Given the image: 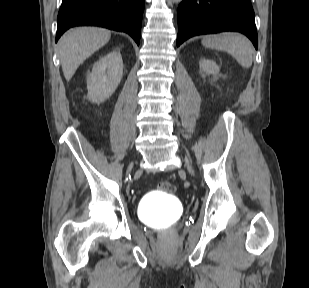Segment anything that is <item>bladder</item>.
Here are the masks:
<instances>
[{"mask_svg": "<svg viewBox=\"0 0 309 288\" xmlns=\"http://www.w3.org/2000/svg\"><path fill=\"white\" fill-rule=\"evenodd\" d=\"M138 210L143 222L152 226L172 224L181 214L177 200L168 192L146 195L140 201Z\"/></svg>", "mask_w": 309, "mask_h": 288, "instance_id": "bladder-1", "label": "bladder"}]
</instances>
